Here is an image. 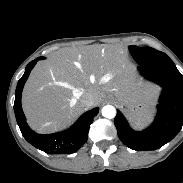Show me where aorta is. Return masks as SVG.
Masks as SVG:
<instances>
[{
	"label": "aorta",
	"instance_id": "1",
	"mask_svg": "<svg viewBox=\"0 0 183 183\" xmlns=\"http://www.w3.org/2000/svg\"><path fill=\"white\" fill-rule=\"evenodd\" d=\"M102 116L108 119H112L116 116V109L112 105H106L102 108Z\"/></svg>",
	"mask_w": 183,
	"mask_h": 183
}]
</instances>
